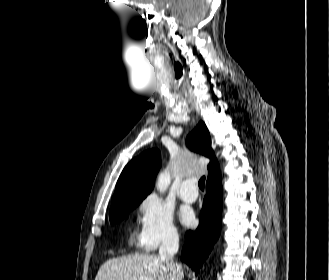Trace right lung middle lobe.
Returning a JSON list of instances; mask_svg holds the SVG:
<instances>
[{"label":"right lung middle lobe","instance_id":"1","mask_svg":"<svg viewBox=\"0 0 329 280\" xmlns=\"http://www.w3.org/2000/svg\"><path fill=\"white\" fill-rule=\"evenodd\" d=\"M143 199H135V200H126L114 208H112L109 212L110 222H119L123 220L129 211L134 209Z\"/></svg>","mask_w":329,"mask_h":280}]
</instances>
